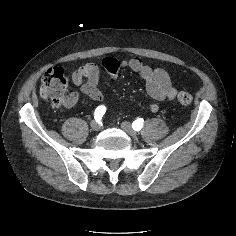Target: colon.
Returning <instances> with one entry per match:
<instances>
[{
	"instance_id": "obj_1",
	"label": "colon",
	"mask_w": 236,
	"mask_h": 236,
	"mask_svg": "<svg viewBox=\"0 0 236 236\" xmlns=\"http://www.w3.org/2000/svg\"><path fill=\"white\" fill-rule=\"evenodd\" d=\"M68 77L61 68H52L47 70L40 83V95L45 99H49L54 106L61 108L65 106L67 100ZM193 97L187 92H179L177 101L188 106L192 103Z\"/></svg>"
}]
</instances>
